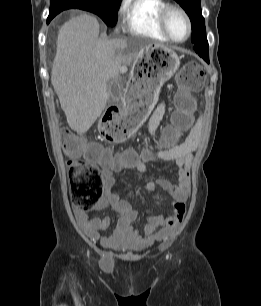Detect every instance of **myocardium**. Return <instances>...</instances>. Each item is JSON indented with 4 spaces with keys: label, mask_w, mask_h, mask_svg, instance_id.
Instances as JSON below:
<instances>
[{
    "label": "myocardium",
    "mask_w": 261,
    "mask_h": 306,
    "mask_svg": "<svg viewBox=\"0 0 261 306\" xmlns=\"http://www.w3.org/2000/svg\"><path fill=\"white\" fill-rule=\"evenodd\" d=\"M173 11L178 12L183 17V19L185 20V23H186L187 34L181 40H177V39L173 38L172 35L170 34V31H169L168 26H167L168 15ZM158 23H159V26H160L162 32L164 33V35L168 38V40H170L174 43L185 42L190 37L191 32H192V24H191V20H190L189 15L187 14V12L182 7H180L178 5H175V4H168L161 10V12L159 14V17H158Z\"/></svg>",
    "instance_id": "1"
}]
</instances>
